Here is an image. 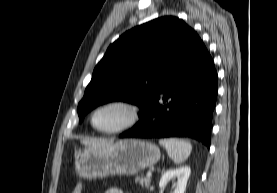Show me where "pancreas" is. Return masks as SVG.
<instances>
[{"label": "pancreas", "instance_id": "pancreas-1", "mask_svg": "<svg viewBox=\"0 0 277 193\" xmlns=\"http://www.w3.org/2000/svg\"><path fill=\"white\" fill-rule=\"evenodd\" d=\"M135 180H136V182H139L141 186L149 187L150 178H145L143 176H141V177L137 176Z\"/></svg>", "mask_w": 277, "mask_h": 193}]
</instances>
